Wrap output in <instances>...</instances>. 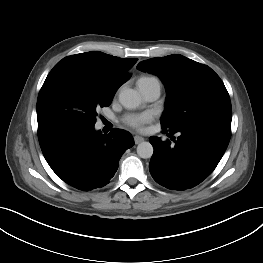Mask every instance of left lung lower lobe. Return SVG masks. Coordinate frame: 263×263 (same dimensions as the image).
I'll return each instance as SVG.
<instances>
[{"label":"left lung lower lobe","mask_w":263,"mask_h":263,"mask_svg":"<svg viewBox=\"0 0 263 263\" xmlns=\"http://www.w3.org/2000/svg\"><path fill=\"white\" fill-rule=\"evenodd\" d=\"M174 133L179 135L176 140L171 136L174 144L149 138L154 148L149 170L157 183L180 191L195 187L214 171L229 144L231 125L205 119L169 134Z\"/></svg>","instance_id":"1"}]
</instances>
